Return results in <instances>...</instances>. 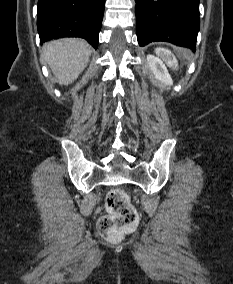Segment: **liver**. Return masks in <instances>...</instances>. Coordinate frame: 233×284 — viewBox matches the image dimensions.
Returning <instances> with one entry per match:
<instances>
[{
  "label": "liver",
  "mask_w": 233,
  "mask_h": 284,
  "mask_svg": "<svg viewBox=\"0 0 233 284\" xmlns=\"http://www.w3.org/2000/svg\"><path fill=\"white\" fill-rule=\"evenodd\" d=\"M43 53L59 84L68 85L87 66L92 47L83 39H59L47 42Z\"/></svg>",
  "instance_id": "obj_1"
}]
</instances>
